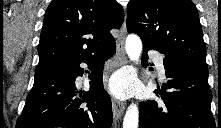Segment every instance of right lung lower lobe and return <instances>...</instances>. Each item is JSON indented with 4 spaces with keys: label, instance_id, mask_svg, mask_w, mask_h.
Wrapping results in <instances>:
<instances>
[{
    "label": "right lung lower lobe",
    "instance_id": "right-lung-lower-lobe-1",
    "mask_svg": "<svg viewBox=\"0 0 221 128\" xmlns=\"http://www.w3.org/2000/svg\"><path fill=\"white\" fill-rule=\"evenodd\" d=\"M114 53L115 42L90 57L73 58L36 73L16 128H111L112 104L103 88L102 70L104 60ZM82 62L91 71L90 90L76 97L75 80L84 73Z\"/></svg>",
    "mask_w": 221,
    "mask_h": 128
}]
</instances>
